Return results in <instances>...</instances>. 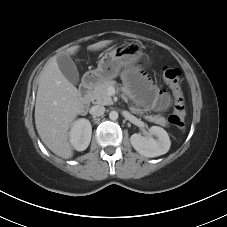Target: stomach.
Segmentation results:
<instances>
[{
	"label": "stomach",
	"instance_id": "obj_1",
	"mask_svg": "<svg viewBox=\"0 0 227 227\" xmlns=\"http://www.w3.org/2000/svg\"><path fill=\"white\" fill-rule=\"evenodd\" d=\"M144 55L139 45L124 43L106 52L99 60L96 69L88 71L85 76L92 84H99L118 76L120 69L136 62Z\"/></svg>",
	"mask_w": 227,
	"mask_h": 227
}]
</instances>
